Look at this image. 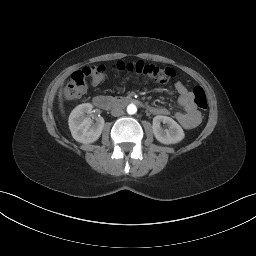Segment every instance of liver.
<instances>
[{
	"label": "liver",
	"mask_w": 256,
	"mask_h": 256,
	"mask_svg": "<svg viewBox=\"0 0 256 256\" xmlns=\"http://www.w3.org/2000/svg\"><path fill=\"white\" fill-rule=\"evenodd\" d=\"M63 83V82H62ZM61 92L59 93V108H60V111L63 113V102H62V97H61Z\"/></svg>",
	"instance_id": "obj_1"
}]
</instances>
